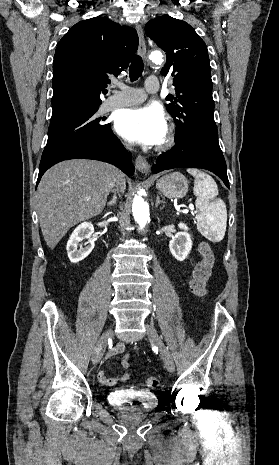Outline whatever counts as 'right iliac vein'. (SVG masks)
<instances>
[{
  "label": "right iliac vein",
  "mask_w": 279,
  "mask_h": 465,
  "mask_svg": "<svg viewBox=\"0 0 279 465\" xmlns=\"http://www.w3.org/2000/svg\"><path fill=\"white\" fill-rule=\"evenodd\" d=\"M112 335H113V331L111 329H108L105 331V333H103V335L99 339L98 344H97L98 350L92 358L93 364H98L100 362L103 356L105 347L107 345V342L112 337Z\"/></svg>",
  "instance_id": "63e3f726"
}]
</instances>
